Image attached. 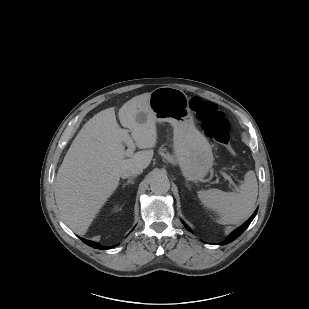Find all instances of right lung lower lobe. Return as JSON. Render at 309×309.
Wrapping results in <instances>:
<instances>
[{"instance_id": "obj_1", "label": "right lung lower lobe", "mask_w": 309, "mask_h": 309, "mask_svg": "<svg viewBox=\"0 0 309 309\" xmlns=\"http://www.w3.org/2000/svg\"><path fill=\"white\" fill-rule=\"evenodd\" d=\"M81 240L85 243V244H87L88 246H91V247H93V248H95V249H110V248H112V247H103V246H100L99 244H97L96 242H92V241H89V240H85V239H82L81 238ZM119 244H117V245H115V246H113V247H116V246H118Z\"/></svg>"}]
</instances>
